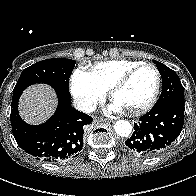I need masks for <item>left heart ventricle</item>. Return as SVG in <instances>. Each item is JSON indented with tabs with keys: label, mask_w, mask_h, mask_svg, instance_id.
<instances>
[{
	"label": "left heart ventricle",
	"mask_w": 196,
	"mask_h": 196,
	"mask_svg": "<svg viewBox=\"0 0 196 196\" xmlns=\"http://www.w3.org/2000/svg\"><path fill=\"white\" fill-rule=\"evenodd\" d=\"M156 73L151 68L139 70L114 97V101L130 110L145 104L156 86Z\"/></svg>",
	"instance_id": "obj_1"
}]
</instances>
